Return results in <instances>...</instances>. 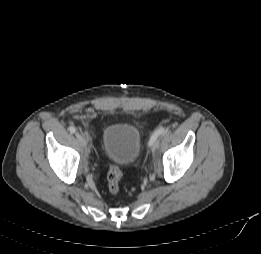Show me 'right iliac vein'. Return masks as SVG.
Instances as JSON below:
<instances>
[{
    "mask_svg": "<svg viewBox=\"0 0 261 254\" xmlns=\"http://www.w3.org/2000/svg\"><path fill=\"white\" fill-rule=\"evenodd\" d=\"M76 137L78 139V141L84 146L87 147L90 145V140L87 138H84L82 134H80L79 132L76 133Z\"/></svg>",
    "mask_w": 261,
    "mask_h": 254,
    "instance_id": "right-iliac-vein-1",
    "label": "right iliac vein"
}]
</instances>
